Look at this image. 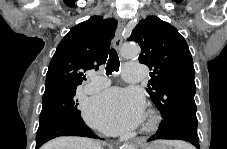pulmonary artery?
Returning <instances> with one entry per match:
<instances>
[{
  "label": "pulmonary artery",
  "mask_w": 227,
  "mask_h": 149,
  "mask_svg": "<svg viewBox=\"0 0 227 149\" xmlns=\"http://www.w3.org/2000/svg\"><path fill=\"white\" fill-rule=\"evenodd\" d=\"M123 76L127 82H140L144 77V67L138 63L125 64ZM91 80V90H99L109 84L108 79L100 75H92Z\"/></svg>",
  "instance_id": "obj_1"
}]
</instances>
